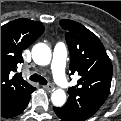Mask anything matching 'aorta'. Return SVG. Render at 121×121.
Listing matches in <instances>:
<instances>
[{"mask_svg": "<svg viewBox=\"0 0 121 121\" xmlns=\"http://www.w3.org/2000/svg\"><path fill=\"white\" fill-rule=\"evenodd\" d=\"M33 61L41 66H46L50 63L52 54L48 45L44 43H38L32 48ZM51 100L53 105L61 107L66 102V94L64 90L57 89L51 94Z\"/></svg>", "mask_w": 121, "mask_h": 121, "instance_id": "762f6f07", "label": "aorta"}]
</instances>
